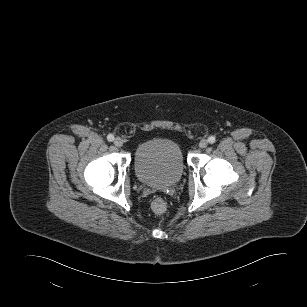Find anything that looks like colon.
I'll list each match as a JSON object with an SVG mask.
<instances>
[{
	"label": "colon",
	"instance_id": "1",
	"mask_svg": "<svg viewBox=\"0 0 307 307\" xmlns=\"http://www.w3.org/2000/svg\"><path fill=\"white\" fill-rule=\"evenodd\" d=\"M166 202L164 199L157 197L152 201L151 209L155 214H163L166 211Z\"/></svg>",
	"mask_w": 307,
	"mask_h": 307
}]
</instances>
